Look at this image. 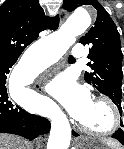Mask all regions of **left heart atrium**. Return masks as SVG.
Listing matches in <instances>:
<instances>
[{"label":"left heart atrium","instance_id":"39dd6f15","mask_svg":"<svg viewBox=\"0 0 124 149\" xmlns=\"http://www.w3.org/2000/svg\"><path fill=\"white\" fill-rule=\"evenodd\" d=\"M47 88L48 93L78 121L83 119L93 103L89 90L66 73L51 80Z\"/></svg>","mask_w":124,"mask_h":149}]
</instances>
